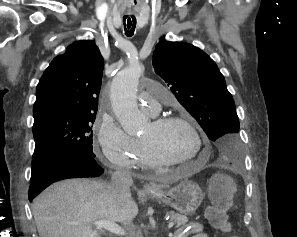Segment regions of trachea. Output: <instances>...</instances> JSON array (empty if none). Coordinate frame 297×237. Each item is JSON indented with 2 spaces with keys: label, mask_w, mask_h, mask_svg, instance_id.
I'll use <instances>...</instances> for the list:
<instances>
[{
  "label": "trachea",
  "mask_w": 297,
  "mask_h": 237,
  "mask_svg": "<svg viewBox=\"0 0 297 237\" xmlns=\"http://www.w3.org/2000/svg\"><path fill=\"white\" fill-rule=\"evenodd\" d=\"M123 24L125 29V34L128 37H131L134 34L136 27V19L132 18H123Z\"/></svg>",
  "instance_id": "1"
}]
</instances>
